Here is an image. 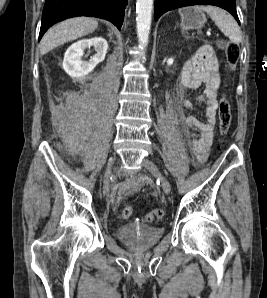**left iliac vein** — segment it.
<instances>
[{"label":"left iliac vein","mask_w":267,"mask_h":298,"mask_svg":"<svg viewBox=\"0 0 267 298\" xmlns=\"http://www.w3.org/2000/svg\"><path fill=\"white\" fill-rule=\"evenodd\" d=\"M143 166L155 177H157L160 182L163 191L166 194H169L171 191V185L168 179L160 172L159 168L155 165L154 162L150 161L149 159L145 158L142 161Z\"/></svg>","instance_id":"4c4485c4"}]
</instances>
